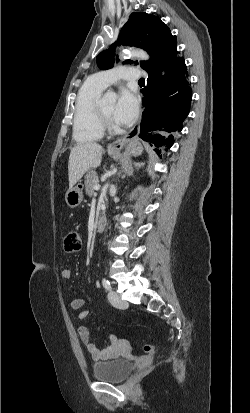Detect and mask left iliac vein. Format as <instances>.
<instances>
[{"mask_svg": "<svg viewBox=\"0 0 250 413\" xmlns=\"http://www.w3.org/2000/svg\"><path fill=\"white\" fill-rule=\"evenodd\" d=\"M109 302L116 308L124 309L128 306V303L121 299L120 295L115 291H110L108 293Z\"/></svg>", "mask_w": 250, "mask_h": 413, "instance_id": "1", "label": "left iliac vein"}]
</instances>
